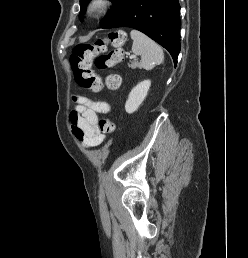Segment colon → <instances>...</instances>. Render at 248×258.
<instances>
[{
  "mask_svg": "<svg viewBox=\"0 0 248 258\" xmlns=\"http://www.w3.org/2000/svg\"><path fill=\"white\" fill-rule=\"evenodd\" d=\"M111 44L114 50L106 52ZM126 34L124 31H113L104 39L94 44H77L73 47L69 61L77 84L93 92H101L104 88L116 90L119 86L117 78L103 80L92 70L94 65L99 70L110 68L120 63L125 55ZM100 131L111 134L115 131L114 122L108 118L99 121Z\"/></svg>",
  "mask_w": 248,
  "mask_h": 258,
  "instance_id": "5ec220e1",
  "label": "colon"
}]
</instances>
